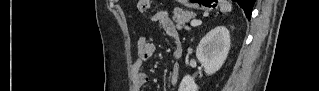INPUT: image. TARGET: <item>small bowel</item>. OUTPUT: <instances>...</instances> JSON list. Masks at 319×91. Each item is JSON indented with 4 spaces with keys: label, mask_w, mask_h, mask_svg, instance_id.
Returning <instances> with one entry per match:
<instances>
[{
    "label": "small bowel",
    "mask_w": 319,
    "mask_h": 91,
    "mask_svg": "<svg viewBox=\"0 0 319 91\" xmlns=\"http://www.w3.org/2000/svg\"><path fill=\"white\" fill-rule=\"evenodd\" d=\"M151 20L160 24L165 33L175 40L173 57L179 58L182 53V47L179 41L178 32L173 24L168 12L159 11L152 15ZM138 59L132 65L133 82L135 89L139 90L149 83V76L144 70L145 62L152 58L156 53V45L145 37H141L137 43ZM180 69L174 64L169 73V79L172 85L179 81Z\"/></svg>",
    "instance_id": "1"
}]
</instances>
